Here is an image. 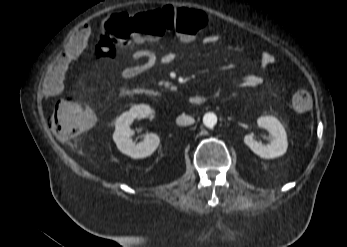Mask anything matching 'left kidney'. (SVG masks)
Masks as SVG:
<instances>
[{
    "mask_svg": "<svg viewBox=\"0 0 347 247\" xmlns=\"http://www.w3.org/2000/svg\"><path fill=\"white\" fill-rule=\"evenodd\" d=\"M259 127L269 131L273 140L265 145L257 142L252 135H245L244 143L258 156L273 159L286 153L288 142L287 134L280 121L273 116H262L257 120Z\"/></svg>",
    "mask_w": 347,
    "mask_h": 247,
    "instance_id": "left-kidney-1",
    "label": "left kidney"
}]
</instances>
